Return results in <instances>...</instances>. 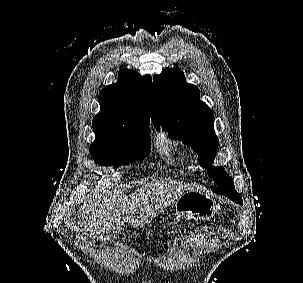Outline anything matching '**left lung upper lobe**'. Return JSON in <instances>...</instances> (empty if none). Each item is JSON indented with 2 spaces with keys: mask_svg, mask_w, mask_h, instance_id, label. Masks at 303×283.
I'll return each mask as SVG.
<instances>
[{
  "mask_svg": "<svg viewBox=\"0 0 303 283\" xmlns=\"http://www.w3.org/2000/svg\"><path fill=\"white\" fill-rule=\"evenodd\" d=\"M151 118L158 130L162 126L171 138L181 139L197 152L199 162L216 184L212 187L214 192L239 194L223 167L211 166L219 143L213 129V112L199 99V89L186 82L178 67L154 76Z\"/></svg>",
  "mask_w": 303,
  "mask_h": 283,
  "instance_id": "1",
  "label": "left lung upper lobe"
}]
</instances>
